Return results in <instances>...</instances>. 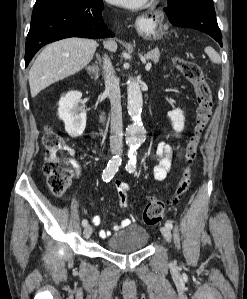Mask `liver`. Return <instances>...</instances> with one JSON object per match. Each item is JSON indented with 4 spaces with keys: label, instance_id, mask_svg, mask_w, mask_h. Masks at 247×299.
Instances as JSON below:
<instances>
[{
    "label": "liver",
    "instance_id": "1",
    "mask_svg": "<svg viewBox=\"0 0 247 299\" xmlns=\"http://www.w3.org/2000/svg\"><path fill=\"white\" fill-rule=\"evenodd\" d=\"M105 46L112 52L117 50L115 41L109 40ZM96 47L95 40L78 37L47 45L29 71L31 96L82 70L91 61Z\"/></svg>",
    "mask_w": 247,
    "mask_h": 299
}]
</instances>
